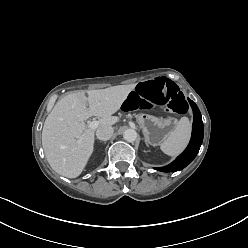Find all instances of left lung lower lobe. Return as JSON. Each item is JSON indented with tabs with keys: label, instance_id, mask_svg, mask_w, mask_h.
I'll return each instance as SVG.
<instances>
[{
	"label": "left lung lower lobe",
	"instance_id": "0a47b994",
	"mask_svg": "<svg viewBox=\"0 0 248 248\" xmlns=\"http://www.w3.org/2000/svg\"><path fill=\"white\" fill-rule=\"evenodd\" d=\"M188 102L194 111V122L190 143L184 150V152L179 155L171 164L165 167L155 168L156 170H159L161 172H175L178 170H182L193 161V159L199 152L204 135L202 117L196 104L190 99H188Z\"/></svg>",
	"mask_w": 248,
	"mask_h": 248
}]
</instances>
